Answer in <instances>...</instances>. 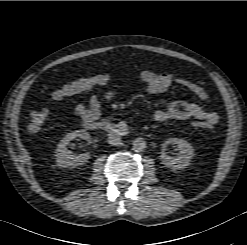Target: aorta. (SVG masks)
I'll return each instance as SVG.
<instances>
[{
    "label": "aorta",
    "mask_w": 247,
    "mask_h": 245,
    "mask_svg": "<svg viewBox=\"0 0 247 245\" xmlns=\"http://www.w3.org/2000/svg\"><path fill=\"white\" fill-rule=\"evenodd\" d=\"M146 147H147V144L143 138H136L134 139L132 143V149L135 152H139V153L143 152L145 151Z\"/></svg>",
    "instance_id": "1"
}]
</instances>
